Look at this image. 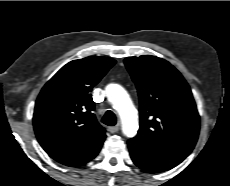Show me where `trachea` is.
<instances>
[{
    "label": "trachea",
    "mask_w": 230,
    "mask_h": 186,
    "mask_svg": "<svg viewBox=\"0 0 230 186\" xmlns=\"http://www.w3.org/2000/svg\"><path fill=\"white\" fill-rule=\"evenodd\" d=\"M116 121L115 114L110 110H108L102 118V122L108 126H114Z\"/></svg>",
    "instance_id": "3493384b"
}]
</instances>
